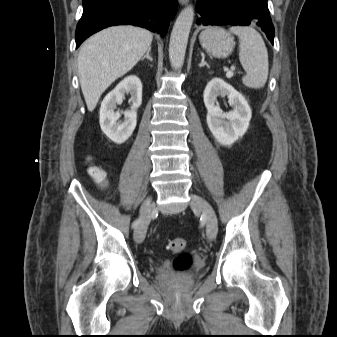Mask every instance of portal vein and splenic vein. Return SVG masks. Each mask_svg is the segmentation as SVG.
Returning <instances> with one entry per match:
<instances>
[{
  "label": "portal vein and splenic vein",
  "instance_id": "1",
  "mask_svg": "<svg viewBox=\"0 0 337 337\" xmlns=\"http://www.w3.org/2000/svg\"><path fill=\"white\" fill-rule=\"evenodd\" d=\"M234 70H235V67L232 66L231 69H230L229 71H227L226 76H227L228 78L232 77V76H233V71H234Z\"/></svg>",
  "mask_w": 337,
  "mask_h": 337
}]
</instances>
